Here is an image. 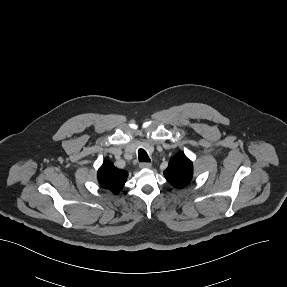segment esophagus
I'll return each instance as SVG.
<instances>
[{
	"label": "esophagus",
	"mask_w": 287,
	"mask_h": 287,
	"mask_svg": "<svg viewBox=\"0 0 287 287\" xmlns=\"http://www.w3.org/2000/svg\"><path fill=\"white\" fill-rule=\"evenodd\" d=\"M139 167H140L141 169H148V168L151 167V164L148 163V162H142V163L139 164Z\"/></svg>",
	"instance_id": "1"
}]
</instances>
